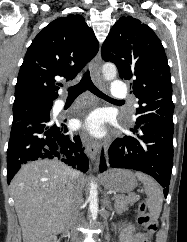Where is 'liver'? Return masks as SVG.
<instances>
[{
  "label": "liver",
  "instance_id": "6515ba94",
  "mask_svg": "<svg viewBox=\"0 0 187 242\" xmlns=\"http://www.w3.org/2000/svg\"><path fill=\"white\" fill-rule=\"evenodd\" d=\"M72 170L58 160H38L24 165L11 182L23 242H44L61 233L71 215ZM83 188L86 179L78 174Z\"/></svg>",
  "mask_w": 187,
  "mask_h": 242
}]
</instances>
